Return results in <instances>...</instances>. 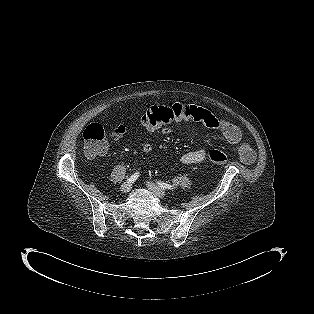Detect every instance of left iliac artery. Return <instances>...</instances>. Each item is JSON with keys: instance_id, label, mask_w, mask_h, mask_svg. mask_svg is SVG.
I'll use <instances>...</instances> for the list:
<instances>
[{"instance_id": "44dca946", "label": "left iliac artery", "mask_w": 314, "mask_h": 314, "mask_svg": "<svg viewBox=\"0 0 314 314\" xmlns=\"http://www.w3.org/2000/svg\"><path fill=\"white\" fill-rule=\"evenodd\" d=\"M157 183L162 189H170V190L174 189V187L170 184L160 182V181H158Z\"/></svg>"}]
</instances>
